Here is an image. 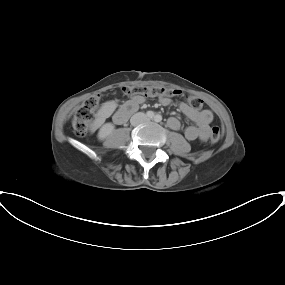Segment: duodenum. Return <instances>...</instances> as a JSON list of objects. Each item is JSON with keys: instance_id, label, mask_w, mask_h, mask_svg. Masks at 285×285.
Here are the masks:
<instances>
[{"instance_id": "410a0bca", "label": "duodenum", "mask_w": 285, "mask_h": 285, "mask_svg": "<svg viewBox=\"0 0 285 285\" xmlns=\"http://www.w3.org/2000/svg\"><path fill=\"white\" fill-rule=\"evenodd\" d=\"M137 107L133 103H125L114 115L117 124H123L128 117L136 111Z\"/></svg>"}]
</instances>
